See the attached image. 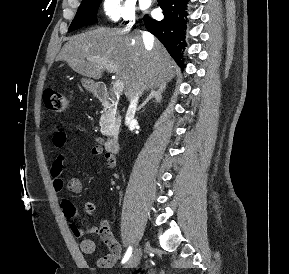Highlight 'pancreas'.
<instances>
[{
	"instance_id": "pancreas-1",
	"label": "pancreas",
	"mask_w": 289,
	"mask_h": 274,
	"mask_svg": "<svg viewBox=\"0 0 289 274\" xmlns=\"http://www.w3.org/2000/svg\"><path fill=\"white\" fill-rule=\"evenodd\" d=\"M119 117L116 116V109L113 108L104 112L100 118L101 132L104 136H110L116 133Z\"/></svg>"
}]
</instances>
